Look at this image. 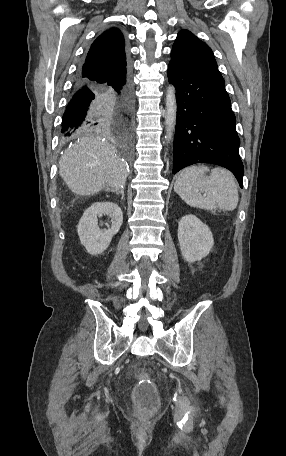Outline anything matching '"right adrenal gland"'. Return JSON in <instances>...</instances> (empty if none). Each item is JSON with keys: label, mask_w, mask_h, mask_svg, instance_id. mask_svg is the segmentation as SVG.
<instances>
[{"label": "right adrenal gland", "mask_w": 286, "mask_h": 456, "mask_svg": "<svg viewBox=\"0 0 286 456\" xmlns=\"http://www.w3.org/2000/svg\"><path fill=\"white\" fill-rule=\"evenodd\" d=\"M120 194L122 196V200L124 199V189H121Z\"/></svg>", "instance_id": "right-adrenal-gland-1"}]
</instances>
